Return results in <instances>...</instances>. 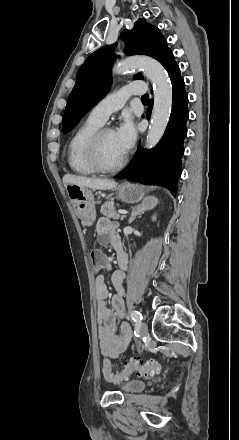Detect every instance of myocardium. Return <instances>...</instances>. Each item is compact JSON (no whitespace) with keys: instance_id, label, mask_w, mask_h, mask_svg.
Instances as JSON below:
<instances>
[{"instance_id":"obj_1","label":"myocardium","mask_w":239,"mask_h":440,"mask_svg":"<svg viewBox=\"0 0 239 440\" xmlns=\"http://www.w3.org/2000/svg\"><path fill=\"white\" fill-rule=\"evenodd\" d=\"M113 131L110 127H99L89 138L86 145V157L91 167L100 173H114L120 170L127 161L128 155L125 153L113 166L103 163L100 155V144L106 132Z\"/></svg>"}]
</instances>
